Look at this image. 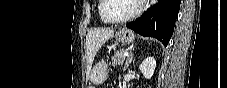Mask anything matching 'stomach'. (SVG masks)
<instances>
[{
  "label": "stomach",
  "instance_id": "0dacf381",
  "mask_svg": "<svg viewBox=\"0 0 227 88\" xmlns=\"http://www.w3.org/2000/svg\"><path fill=\"white\" fill-rule=\"evenodd\" d=\"M134 33L126 28L120 29L115 34V39L121 43H131L134 40ZM108 76V68L102 63H96L90 72V81L93 84H102Z\"/></svg>",
  "mask_w": 227,
  "mask_h": 88
}]
</instances>
